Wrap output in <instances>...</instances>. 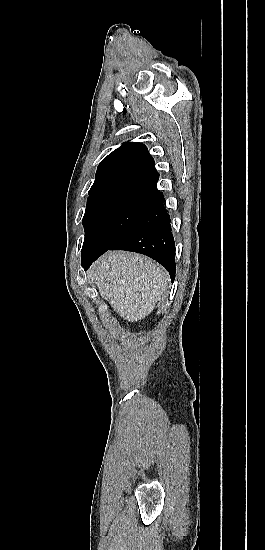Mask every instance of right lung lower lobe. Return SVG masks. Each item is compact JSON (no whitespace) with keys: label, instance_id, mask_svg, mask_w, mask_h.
<instances>
[{"label":"right lung lower lobe","instance_id":"obj_1","mask_svg":"<svg viewBox=\"0 0 265 550\" xmlns=\"http://www.w3.org/2000/svg\"><path fill=\"white\" fill-rule=\"evenodd\" d=\"M163 202V195L159 192L140 219L109 248L82 256L84 269H88L107 250H127L142 253L159 262L168 270L173 282L176 272L175 244L170 217Z\"/></svg>","mask_w":265,"mask_h":550}]
</instances>
